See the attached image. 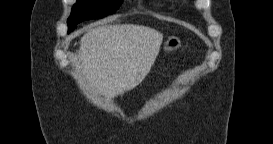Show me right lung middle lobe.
Wrapping results in <instances>:
<instances>
[{"label":"right lung middle lobe","mask_w":273,"mask_h":144,"mask_svg":"<svg viewBox=\"0 0 273 144\" xmlns=\"http://www.w3.org/2000/svg\"><path fill=\"white\" fill-rule=\"evenodd\" d=\"M121 3L122 0H77L67 20L68 33L81 21L103 18L114 13Z\"/></svg>","instance_id":"1"}]
</instances>
